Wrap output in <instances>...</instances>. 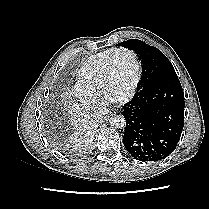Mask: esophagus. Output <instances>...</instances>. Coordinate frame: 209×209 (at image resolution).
Masks as SVG:
<instances>
[{
    "label": "esophagus",
    "instance_id": "1",
    "mask_svg": "<svg viewBox=\"0 0 209 209\" xmlns=\"http://www.w3.org/2000/svg\"><path fill=\"white\" fill-rule=\"evenodd\" d=\"M117 112L116 109H112V114H115Z\"/></svg>",
    "mask_w": 209,
    "mask_h": 209
}]
</instances>
